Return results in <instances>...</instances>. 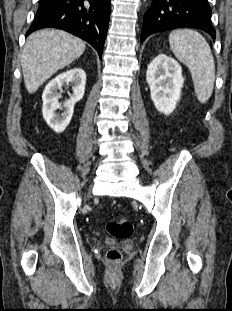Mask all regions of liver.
<instances>
[{"mask_svg":"<svg viewBox=\"0 0 232 311\" xmlns=\"http://www.w3.org/2000/svg\"><path fill=\"white\" fill-rule=\"evenodd\" d=\"M85 47L84 41L65 31L44 29L32 33L21 56L27 91L34 93L55 72L79 58Z\"/></svg>","mask_w":232,"mask_h":311,"instance_id":"1","label":"liver"}]
</instances>
